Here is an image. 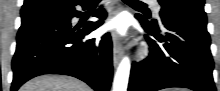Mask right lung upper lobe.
Returning a JSON list of instances; mask_svg holds the SVG:
<instances>
[{
    "label": "right lung upper lobe",
    "mask_w": 220,
    "mask_h": 91,
    "mask_svg": "<svg viewBox=\"0 0 220 91\" xmlns=\"http://www.w3.org/2000/svg\"><path fill=\"white\" fill-rule=\"evenodd\" d=\"M58 1H67V0H25L21 9V15L42 9H52L66 3V2H58Z\"/></svg>",
    "instance_id": "right-lung-upper-lobe-1"
}]
</instances>
